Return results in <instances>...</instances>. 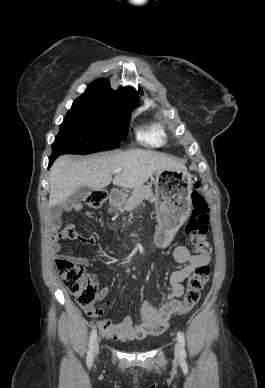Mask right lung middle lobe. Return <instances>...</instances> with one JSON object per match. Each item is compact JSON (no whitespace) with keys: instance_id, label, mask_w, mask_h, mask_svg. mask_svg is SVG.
Segmentation results:
<instances>
[{"instance_id":"right-lung-middle-lobe-1","label":"right lung middle lobe","mask_w":265,"mask_h":388,"mask_svg":"<svg viewBox=\"0 0 265 388\" xmlns=\"http://www.w3.org/2000/svg\"><path fill=\"white\" fill-rule=\"evenodd\" d=\"M137 105L113 98H78L60 126L52 155L89 154L119 147Z\"/></svg>"}]
</instances>
